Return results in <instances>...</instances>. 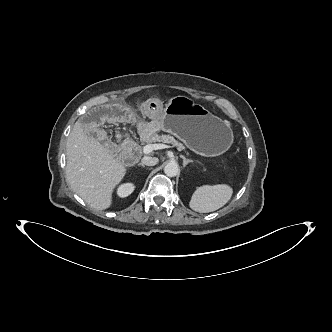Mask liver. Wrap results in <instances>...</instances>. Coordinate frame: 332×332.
Instances as JSON below:
<instances>
[{
    "label": "liver",
    "mask_w": 332,
    "mask_h": 332,
    "mask_svg": "<svg viewBox=\"0 0 332 332\" xmlns=\"http://www.w3.org/2000/svg\"><path fill=\"white\" fill-rule=\"evenodd\" d=\"M66 159L71 189L91 207L109 208L113 191L126 174L125 165L108 147L88 136L79 121L67 139Z\"/></svg>",
    "instance_id": "1"
}]
</instances>
